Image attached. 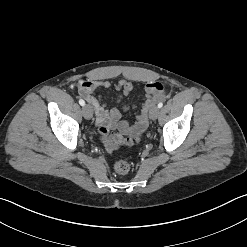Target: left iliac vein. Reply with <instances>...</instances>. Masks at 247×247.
Wrapping results in <instances>:
<instances>
[{
	"mask_svg": "<svg viewBox=\"0 0 247 247\" xmlns=\"http://www.w3.org/2000/svg\"><path fill=\"white\" fill-rule=\"evenodd\" d=\"M159 108L157 106H153L151 109H150V112H149V117L153 120H155L158 115H159Z\"/></svg>",
	"mask_w": 247,
	"mask_h": 247,
	"instance_id": "4c4485c4",
	"label": "left iliac vein"
}]
</instances>
